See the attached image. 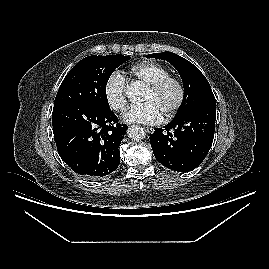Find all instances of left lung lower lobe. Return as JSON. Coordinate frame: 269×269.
Wrapping results in <instances>:
<instances>
[{
    "label": "left lung lower lobe",
    "instance_id": "0a47b994",
    "mask_svg": "<svg viewBox=\"0 0 269 269\" xmlns=\"http://www.w3.org/2000/svg\"><path fill=\"white\" fill-rule=\"evenodd\" d=\"M216 103L204 102L174 119L150 136L156 159L165 167L188 172L198 167L208 154L215 132Z\"/></svg>",
    "mask_w": 269,
    "mask_h": 269
}]
</instances>
